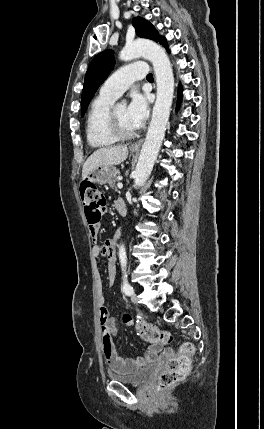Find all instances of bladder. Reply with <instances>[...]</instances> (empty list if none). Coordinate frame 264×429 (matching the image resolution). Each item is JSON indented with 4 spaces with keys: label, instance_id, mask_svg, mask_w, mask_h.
Segmentation results:
<instances>
[{
    "label": "bladder",
    "instance_id": "1",
    "mask_svg": "<svg viewBox=\"0 0 264 429\" xmlns=\"http://www.w3.org/2000/svg\"><path fill=\"white\" fill-rule=\"evenodd\" d=\"M155 372L156 367L150 365L147 367L140 368L131 373L108 372V377L110 380L123 384L141 386L148 382L154 376Z\"/></svg>",
    "mask_w": 264,
    "mask_h": 429
}]
</instances>
